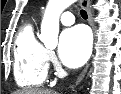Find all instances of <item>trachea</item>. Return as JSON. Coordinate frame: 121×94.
<instances>
[{
    "label": "trachea",
    "mask_w": 121,
    "mask_h": 94,
    "mask_svg": "<svg viewBox=\"0 0 121 94\" xmlns=\"http://www.w3.org/2000/svg\"><path fill=\"white\" fill-rule=\"evenodd\" d=\"M80 14H81V16H82L83 19H87L88 18V15H87V13H86L85 10H81Z\"/></svg>",
    "instance_id": "3493384b"
}]
</instances>
